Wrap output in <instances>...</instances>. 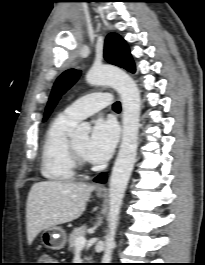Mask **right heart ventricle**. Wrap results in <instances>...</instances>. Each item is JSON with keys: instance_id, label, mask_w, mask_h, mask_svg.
<instances>
[{"instance_id": "obj_1", "label": "right heart ventricle", "mask_w": 205, "mask_h": 265, "mask_svg": "<svg viewBox=\"0 0 205 265\" xmlns=\"http://www.w3.org/2000/svg\"><path fill=\"white\" fill-rule=\"evenodd\" d=\"M76 122L63 114L50 124L41 151V173L51 181L65 182L75 177L68 131Z\"/></svg>"}]
</instances>
